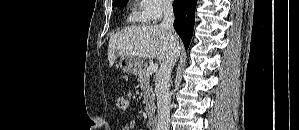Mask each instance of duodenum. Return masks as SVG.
Listing matches in <instances>:
<instances>
[{"label": "duodenum", "instance_id": "1", "mask_svg": "<svg viewBox=\"0 0 299 130\" xmlns=\"http://www.w3.org/2000/svg\"><path fill=\"white\" fill-rule=\"evenodd\" d=\"M158 118L151 116L148 118V127L150 130H158Z\"/></svg>", "mask_w": 299, "mask_h": 130}]
</instances>
